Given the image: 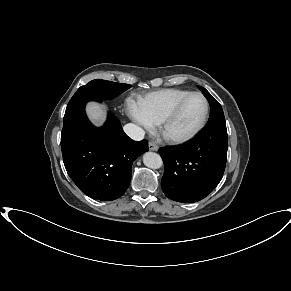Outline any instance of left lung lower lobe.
Here are the masks:
<instances>
[{"label":"left lung lower lobe","mask_w":291,"mask_h":291,"mask_svg":"<svg viewBox=\"0 0 291 291\" xmlns=\"http://www.w3.org/2000/svg\"><path fill=\"white\" fill-rule=\"evenodd\" d=\"M165 171L161 187L177 202L205 198L222 179L227 160L226 124L206 125L190 142L159 149Z\"/></svg>","instance_id":"0a47b994"}]
</instances>
